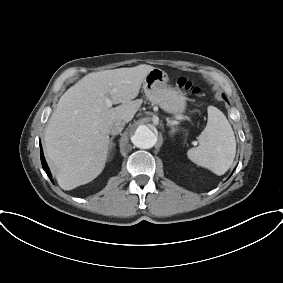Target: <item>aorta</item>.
Masks as SVG:
<instances>
[{
    "label": "aorta",
    "instance_id": "obj_1",
    "mask_svg": "<svg viewBox=\"0 0 283 283\" xmlns=\"http://www.w3.org/2000/svg\"><path fill=\"white\" fill-rule=\"evenodd\" d=\"M131 140L136 147L141 149H149L156 144L157 137L151 129L145 125H141L136 129Z\"/></svg>",
    "mask_w": 283,
    "mask_h": 283
}]
</instances>
